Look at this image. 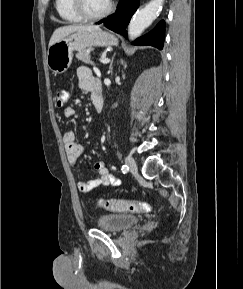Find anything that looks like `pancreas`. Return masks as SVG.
Returning a JSON list of instances; mask_svg holds the SVG:
<instances>
[{
  "mask_svg": "<svg viewBox=\"0 0 243 289\" xmlns=\"http://www.w3.org/2000/svg\"><path fill=\"white\" fill-rule=\"evenodd\" d=\"M92 51L91 48L86 50L80 51L76 54V58L85 64L93 65L94 63L91 61L90 52Z\"/></svg>",
  "mask_w": 243,
  "mask_h": 289,
  "instance_id": "pancreas-1",
  "label": "pancreas"
}]
</instances>
